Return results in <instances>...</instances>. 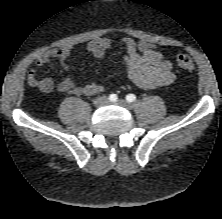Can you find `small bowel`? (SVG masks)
Returning a JSON list of instances; mask_svg holds the SVG:
<instances>
[{"mask_svg": "<svg viewBox=\"0 0 222 219\" xmlns=\"http://www.w3.org/2000/svg\"><path fill=\"white\" fill-rule=\"evenodd\" d=\"M126 49L124 63L127 70V78L136 86L142 89H154L172 84L176 79L173 64L157 49L156 45L147 41H139L130 37L122 39ZM114 43L108 38H96L91 41L86 50L96 58H103L107 50L112 49ZM72 51V46L66 44L48 50L36 59V67L27 75V83L37 87L44 93L52 92L55 88L59 92L71 95H95L103 91L102 85L88 83L77 85L74 79L67 76L55 84L49 77L40 78L39 73L42 67L57 60L65 70H69L67 58Z\"/></svg>", "mask_w": 222, "mask_h": 219, "instance_id": "small-bowel-1", "label": "small bowel"}]
</instances>
